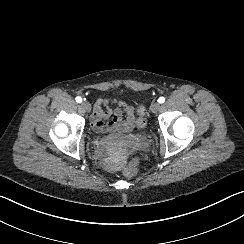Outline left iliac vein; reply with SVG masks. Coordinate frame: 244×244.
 Wrapping results in <instances>:
<instances>
[{"label": "left iliac vein", "mask_w": 244, "mask_h": 244, "mask_svg": "<svg viewBox=\"0 0 244 244\" xmlns=\"http://www.w3.org/2000/svg\"><path fill=\"white\" fill-rule=\"evenodd\" d=\"M161 109V105L159 103H153L151 106V111L153 113H157Z\"/></svg>", "instance_id": "left-iliac-vein-1"}]
</instances>
